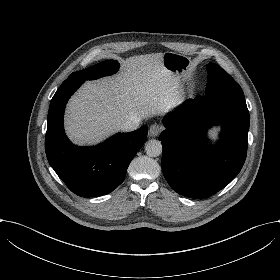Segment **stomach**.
I'll use <instances>...</instances> for the list:
<instances>
[{
    "label": "stomach",
    "mask_w": 280,
    "mask_h": 280,
    "mask_svg": "<svg viewBox=\"0 0 280 280\" xmlns=\"http://www.w3.org/2000/svg\"><path fill=\"white\" fill-rule=\"evenodd\" d=\"M162 61L164 66L173 72L175 76L179 77L182 83L189 80L192 72L191 59L189 57L175 52H165Z\"/></svg>",
    "instance_id": "stomach-1"
}]
</instances>
